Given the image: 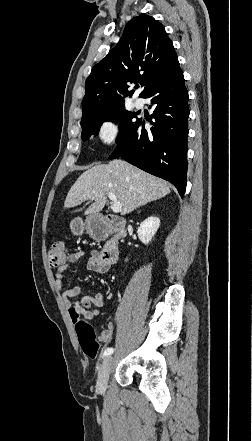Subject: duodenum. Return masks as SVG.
<instances>
[{
  "instance_id": "410a0bca",
  "label": "duodenum",
  "mask_w": 252,
  "mask_h": 441,
  "mask_svg": "<svg viewBox=\"0 0 252 441\" xmlns=\"http://www.w3.org/2000/svg\"><path fill=\"white\" fill-rule=\"evenodd\" d=\"M89 231L94 239H104L108 233H115V237L110 239L101 251V260L111 265L118 258L119 239L126 235V225L124 221L116 216L107 215L102 220L94 219L89 223Z\"/></svg>"
}]
</instances>
